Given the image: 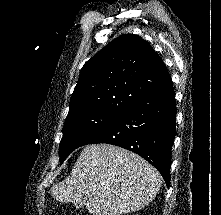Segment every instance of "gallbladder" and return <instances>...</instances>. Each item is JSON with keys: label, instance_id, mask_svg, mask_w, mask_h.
I'll return each mask as SVG.
<instances>
[{"label": "gallbladder", "instance_id": "gallbladder-1", "mask_svg": "<svg viewBox=\"0 0 221 215\" xmlns=\"http://www.w3.org/2000/svg\"><path fill=\"white\" fill-rule=\"evenodd\" d=\"M83 205H84V198H83V197L80 198L78 201L74 202V206H75L77 209L83 207Z\"/></svg>", "mask_w": 221, "mask_h": 215}]
</instances>
